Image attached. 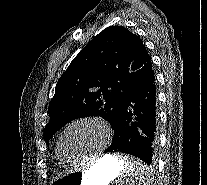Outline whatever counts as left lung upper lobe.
Wrapping results in <instances>:
<instances>
[{"label": "left lung upper lobe", "mask_w": 207, "mask_h": 185, "mask_svg": "<svg viewBox=\"0 0 207 185\" xmlns=\"http://www.w3.org/2000/svg\"><path fill=\"white\" fill-rule=\"evenodd\" d=\"M152 69L142 40L122 26L95 36L62 74L50 101L44 140L73 119L101 116L112 129L132 88Z\"/></svg>", "instance_id": "obj_1"}]
</instances>
